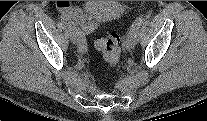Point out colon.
<instances>
[{
	"label": "colon",
	"instance_id": "5ec220e1",
	"mask_svg": "<svg viewBox=\"0 0 207 121\" xmlns=\"http://www.w3.org/2000/svg\"><path fill=\"white\" fill-rule=\"evenodd\" d=\"M120 38L116 33H110L104 38H97L95 46L101 51L104 61L110 65L115 66L121 57Z\"/></svg>",
	"mask_w": 207,
	"mask_h": 121
}]
</instances>
